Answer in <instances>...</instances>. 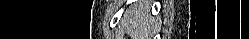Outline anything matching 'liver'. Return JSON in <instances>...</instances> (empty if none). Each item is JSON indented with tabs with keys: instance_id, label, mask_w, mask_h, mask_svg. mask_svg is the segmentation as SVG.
Instances as JSON below:
<instances>
[{
	"instance_id": "6515ba94",
	"label": "liver",
	"mask_w": 249,
	"mask_h": 39,
	"mask_svg": "<svg viewBox=\"0 0 249 39\" xmlns=\"http://www.w3.org/2000/svg\"><path fill=\"white\" fill-rule=\"evenodd\" d=\"M149 3L147 0H142L126 12L123 22L127 25L133 39L143 37L146 31L152 26L153 21L148 15ZM137 37V38H136Z\"/></svg>"
}]
</instances>
